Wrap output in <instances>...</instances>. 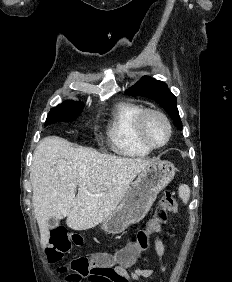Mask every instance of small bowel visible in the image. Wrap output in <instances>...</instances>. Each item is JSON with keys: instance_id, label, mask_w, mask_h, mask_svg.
<instances>
[{"instance_id": "1", "label": "small bowel", "mask_w": 232, "mask_h": 282, "mask_svg": "<svg viewBox=\"0 0 232 282\" xmlns=\"http://www.w3.org/2000/svg\"><path fill=\"white\" fill-rule=\"evenodd\" d=\"M155 254L160 264V270L164 271L163 256L165 253V246L160 238H156L154 242ZM153 274V270L149 268L147 261H143L142 268L125 269L115 265L110 275L95 278L91 282H140L144 278H148Z\"/></svg>"}]
</instances>
